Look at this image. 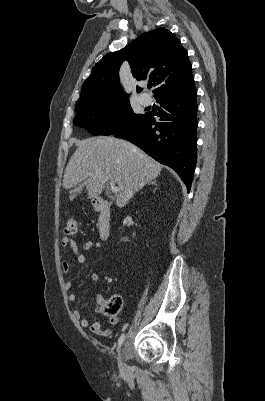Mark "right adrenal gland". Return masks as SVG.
<instances>
[{"label": "right adrenal gland", "mask_w": 265, "mask_h": 401, "mask_svg": "<svg viewBox=\"0 0 265 401\" xmlns=\"http://www.w3.org/2000/svg\"><path fill=\"white\" fill-rule=\"evenodd\" d=\"M156 182H157V180H152V182L150 180V182H148V184H155V186H156Z\"/></svg>", "instance_id": "obj_1"}]
</instances>
